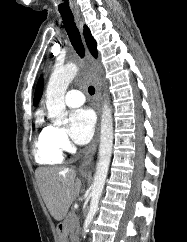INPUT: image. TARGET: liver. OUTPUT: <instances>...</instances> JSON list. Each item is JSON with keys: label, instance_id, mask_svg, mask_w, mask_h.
<instances>
[{"label": "liver", "instance_id": "6515ba94", "mask_svg": "<svg viewBox=\"0 0 187 242\" xmlns=\"http://www.w3.org/2000/svg\"><path fill=\"white\" fill-rule=\"evenodd\" d=\"M35 176L51 216L55 220L61 221L80 193L82 183L77 177L75 169L40 167L36 170Z\"/></svg>", "mask_w": 187, "mask_h": 242}]
</instances>
